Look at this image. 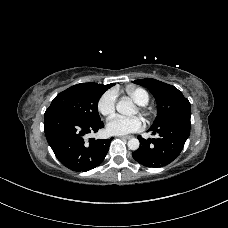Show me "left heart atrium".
I'll use <instances>...</instances> for the list:
<instances>
[{"label": "left heart atrium", "instance_id": "obj_1", "mask_svg": "<svg viewBox=\"0 0 228 228\" xmlns=\"http://www.w3.org/2000/svg\"><path fill=\"white\" fill-rule=\"evenodd\" d=\"M143 128V121L139 117L126 118L120 115H114L109 118L106 129L110 134L125 135L137 132Z\"/></svg>", "mask_w": 228, "mask_h": 228}]
</instances>
